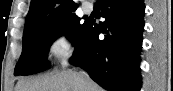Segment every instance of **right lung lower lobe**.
I'll return each mask as SVG.
<instances>
[{
	"label": "right lung lower lobe",
	"mask_w": 173,
	"mask_h": 91,
	"mask_svg": "<svg viewBox=\"0 0 173 91\" xmlns=\"http://www.w3.org/2000/svg\"><path fill=\"white\" fill-rule=\"evenodd\" d=\"M100 6L106 20L99 25L89 22L70 63L107 90L138 91L144 1L100 0ZM100 33L106 34L103 40Z\"/></svg>",
	"instance_id": "1"
}]
</instances>
